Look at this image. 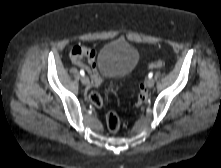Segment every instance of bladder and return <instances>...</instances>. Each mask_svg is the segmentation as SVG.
I'll list each match as a JSON object with an SVG mask.
<instances>
[{
	"mask_svg": "<svg viewBox=\"0 0 221 168\" xmlns=\"http://www.w3.org/2000/svg\"><path fill=\"white\" fill-rule=\"evenodd\" d=\"M137 50L124 40L105 44L98 54V67L107 77L118 78L129 74L138 62Z\"/></svg>",
	"mask_w": 221,
	"mask_h": 168,
	"instance_id": "31cf9c89",
	"label": "bladder"
}]
</instances>
